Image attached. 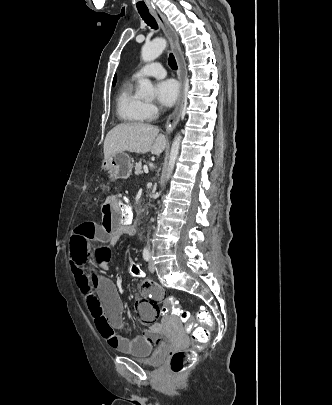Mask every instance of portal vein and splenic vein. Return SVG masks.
<instances>
[{"label": "portal vein and splenic vein", "instance_id": "obj_1", "mask_svg": "<svg viewBox=\"0 0 332 405\" xmlns=\"http://www.w3.org/2000/svg\"><path fill=\"white\" fill-rule=\"evenodd\" d=\"M144 172L148 173V167L147 166H144Z\"/></svg>", "mask_w": 332, "mask_h": 405}]
</instances>
